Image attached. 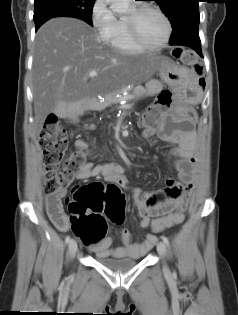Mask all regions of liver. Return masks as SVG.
Segmentation results:
<instances>
[{"instance_id":"6515ba94","label":"liver","mask_w":238,"mask_h":315,"mask_svg":"<svg viewBox=\"0 0 238 315\" xmlns=\"http://www.w3.org/2000/svg\"><path fill=\"white\" fill-rule=\"evenodd\" d=\"M162 65L161 56H128L102 45L82 20L58 17L47 21L37 32L33 56L36 135L50 113L64 118L97 95L147 82ZM91 71L97 76L89 77Z\"/></svg>"}]
</instances>
